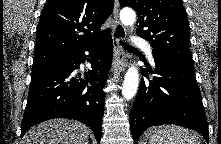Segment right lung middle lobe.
I'll return each instance as SVG.
<instances>
[{
  "instance_id": "dd1d6c3e",
  "label": "right lung middle lobe",
  "mask_w": 221,
  "mask_h": 144,
  "mask_svg": "<svg viewBox=\"0 0 221 144\" xmlns=\"http://www.w3.org/2000/svg\"><path fill=\"white\" fill-rule=\"evenodd\" d=\"M64 56L65 55L56 53H43L34 55L32 73L61 60L64 58Z\"/></svg>"
}]
</instances>
